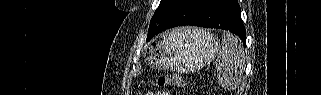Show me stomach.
<instances>
[{
  "label": "stomach",
  "instance_id": "obj_1",
  "mask_svg": "<svg viewBox=\"0 0 321 95\" xmlns=\"http://www.w3.org/2000/svg\"><path fill=\"white\" fill-rule=\"evenodd\" d=\"M219 40L196 28H183L164 33L152 44L148 63L155 68L183 72L198 70L216 55Z\"/></svg>",
  "mask_w": 321,
  "mask_h": 95
}]
</instances>
